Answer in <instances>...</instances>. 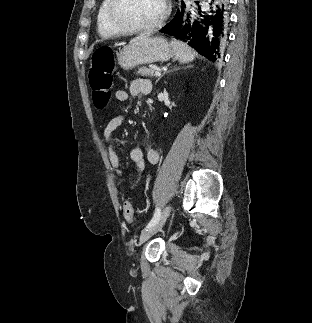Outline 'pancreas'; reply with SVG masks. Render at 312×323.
Segmentation results:
<instances>
[{"mask_svg": "<svg viewBox=\"0 0 312 323\" xmlns=\"http://www.w3.org/2000/svg\"><path fill=\"white\" fill-rule=\"evenodd\" d=\"M155 70H152V68H138L137 74H140V76H148V78H153L155 76L154 74Z\"/></svg>", "mask_w": 312, "mask_h": 323, "instance_id": "1", "label": "pancreas"}]
</instances>
